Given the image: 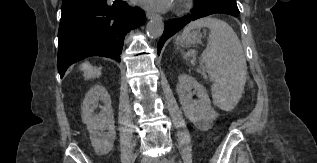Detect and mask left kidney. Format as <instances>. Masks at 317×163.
Returning <instances> with one entry per match:
<instances>
[{"label": "left kidney", "instance_id": "5707ae66", "mask_svg": "<svg viewBox=\"0 0 317 163\" xmlns=\"http://www.w3.org/2000/svg\"><path fill=\"white\" fill-rule=\"evenodd\" d=\"M177 93L185 116L198 129L209 130L218 117V113L211 107V101L204 86L192 76L182 74L179 76ZM193 93H196L198 100L192 99Z\"/></svg>", "mask_w": 317, "mask_h": 163}]
</instances>
